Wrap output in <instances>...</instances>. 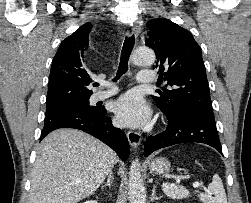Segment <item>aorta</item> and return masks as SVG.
I'll use <instances>...</instances> for the list:
<instances>
[{"label":"aorta","mask_w":251,"mask_h":203,"mask_svg":"<svg viewBox=\"0 0 251 203\" xmlns=\"http://www.w3.org/2000/svg\"><path fill=\"white\" fill-rule=\"evenodd\" d=\"M155 59L154 51L149 48H138L132 56V62L137 66H151ZM128 196L129 203H146L145 187L138 159H135L130 166Z\"/></svg>","instance_id":"aorta-1"}]
</instances>
